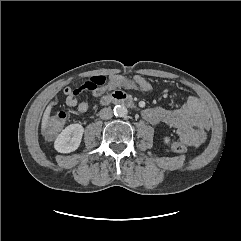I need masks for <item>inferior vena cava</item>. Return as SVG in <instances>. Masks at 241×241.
Returning <instances> with one entry per match:
<instances>
[{
	"label": "inferior vena cava",
	"mask_w": 241,
	"mask_h": 241,
	"mask_svg": "<svg viewBox=\"0 0 241 241\" xmlns=\"http://www.w3.org/2000/svg\"><path fill=\"white\" fill-rule=\"evenodd\" d=\"M100 118L103 120L111 119L113 117V111L111 108H103L100 113Z\"/></svg>",
	"instance_id": "602c4592"
}]
</instances>
